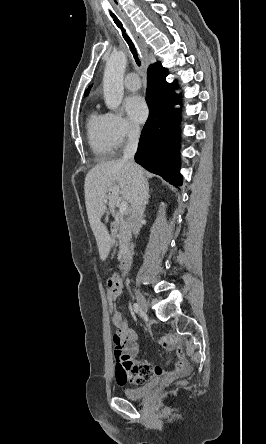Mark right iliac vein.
I'll return each mask as SVG.
<instances>
[{
  "label": "right iliac vein",
  "mask_w": 266,
  "mask_h": 444,
  "mask_svg": "<svg viewBox=\"0 0 266 444\" xmlns=\"http://www.w3.org/2000/svg\"><path fill=\"white\" fill-rule=\"evenodd\" d=\"M135 296H136L137 303H138V305H139V307H140V310H141L144 314H146V313L148 312V303H147L145 297H144L143 294H142L140 291H138V290H135Z\"/></svg>",
  "instance_id": "right-iliac-vein-1"
}]
</instances>
